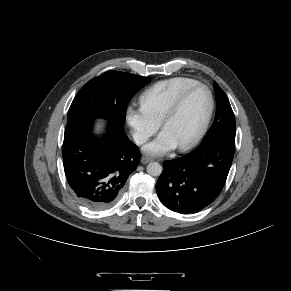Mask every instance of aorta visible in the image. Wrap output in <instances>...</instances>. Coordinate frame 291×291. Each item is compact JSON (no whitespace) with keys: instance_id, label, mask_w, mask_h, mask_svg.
Returning a JSON list of instances; mask_svg holds the SVG:
<instances>
[{"instance_id":"762f6f07","label":"aorta","mask_w":291,"mask_h":291,"mask_svg":"<svg viewBox=\"0 0 291 291\" xmlns=\"http://www.w3.org/2000/svg\"><path fill=\"white\" fill-rule=\"evenodd\" d=\"M146 170L151 176H159L162 173V166L157 162H152L147 165Z\"/></svg>"}]
</instances>
